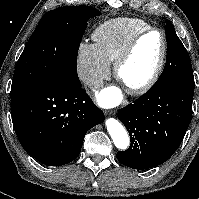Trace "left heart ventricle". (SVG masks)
<instances>
[{
	"label": "left heart ventricle",
	"mask_w": 199,
	"mask_h": 199,
	"mask_svg": "<svg viewBox=\"0 0 199 199\" xmlns=\"http://www.w3.org/2000/svg\"><path fill=\"white\" fill-rule=\"evenodd\" d=\"M162 49L161 36L151 33L136 46L120 71V83L134 87L144 83L153 73Z\"/></svg>",
	"instance_id": "left-heart-ventricle-1"
}]
</instances>
